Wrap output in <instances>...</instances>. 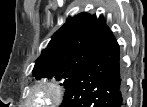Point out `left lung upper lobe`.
I'll list each match as a JSON object with an SVG mask.
<instances>
[{
    "label": "left lung upper lobe",
    "mask_w": 147,
    "mask_h": 107,
    "mask_svg": "<svg viewBox=\"0 0 147 107\" xmlns=\"http://www.w3.org/2000/svg\"><path fill=\"white\" fill-rule=\"evenodd\" d=\"M109 33L110 28L102 17L84 12L69 18L36 60L33 76L64 79L66 88Z\"/></svg>",
    "instance_id": "1"
}]
</instances>
